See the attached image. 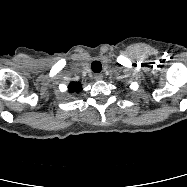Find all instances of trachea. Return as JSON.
<instances>
[{
  "mask_svg": "<svg viewBox=\"0 0 187 187\" xmlns=\"http://www.w3.org/2000/svg\"><path fill=\"white\" fill-rule=\"evenodd\" d=\"M91 68L94 73H99L102 69V65L99 61H94L91 64Z\"/></svg>",
  "mask_w": 187,
  "mask_h": 187,
  "instance_id": "obj_1",
  "label": "trachea"
}]
</instances>
